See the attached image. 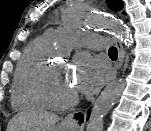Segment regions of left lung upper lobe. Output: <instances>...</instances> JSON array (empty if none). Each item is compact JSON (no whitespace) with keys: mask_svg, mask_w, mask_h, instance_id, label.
I'll return each instance as SVG.
<instances>
[{"mask_svg":"<svg viewBox=\"0 0 151 131\" xmlns=\"http://www.w3.org/2000/svg\"><path fill=\"white\" fill-rule=\"evenodd\" d=\"M108 7L114 11H120L123 9L122 0H106Z\"/></svg>","mask_w":151,"mask_h":131,"instance_id":"1","label":"left lung upper lobe"}]
</instances>
